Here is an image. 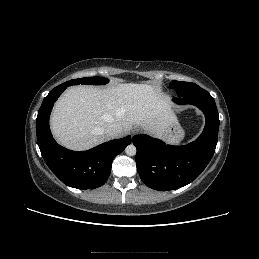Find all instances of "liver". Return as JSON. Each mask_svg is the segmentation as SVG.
Wrapping results in <instances>:
<instances>
[{"label": "liver", "mask_w": 259, "mask_h": 259, "mask_svg": "<svg viewBox=\"0 0 259 259\" xmlns=\"http://www.w3.org/2000/svg\"><path fill=\"white\" fill-rule=\"evenodd\" d=\"M175 119L169 98L151 85L73 86L55 104L51 129L61 145L87 150L109 140L104 131L110 124L122 128L120 136L137 125L160 137Z\"/></svg>", "instance_id": "1"}]
</instances>
